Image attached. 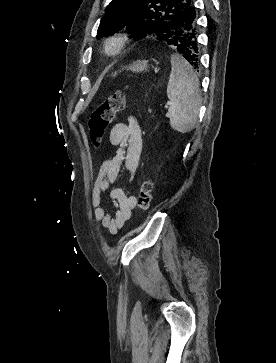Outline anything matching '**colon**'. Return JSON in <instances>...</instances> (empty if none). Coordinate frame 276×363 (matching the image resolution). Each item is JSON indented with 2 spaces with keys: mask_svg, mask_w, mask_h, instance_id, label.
Listing matches in <instances>:
<instances>
[{
  "mask_svg": "<svg viewBox=\"0 0 276 363\" xmlns=\"http://www.w3.org/2000/svg\"><path fill=\"white\" fill-rule=\"evenodd\" d=\"M126 105L124 90H117L106 98L90 115L88 121L89 134L95 144H99L106 129L114 121L118 112ZM152 183L145 180L141 183L138 193V207L142 210L149 209L152 202Z\"/></svg>",
  "mask_w": 276,
  "mask_h": 363,
  "instance_id": "obj_1",
  "label": "colon"
}]
</instances>
